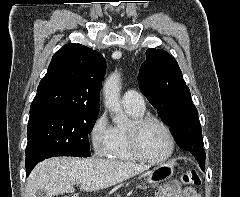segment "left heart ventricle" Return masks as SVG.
Segmentation results:
<instances>
[{"mask_svg": "<svg viewBox=\"0 0 240 197\" xmlns=\"http://www.w3.org/2000/svg\"><path fill=\"white\" fill-rule=\"evenodd\" d=\"M141 144L145 153L154 159L164 157L170 149L168 135L158 123L146 125L141 133Z\"/></svg>", "mask_w": 240, "mask_h": 197, "instance_id": "left-heart-ventricle-1", "label": "left heart ventricle"}]
</instances>
